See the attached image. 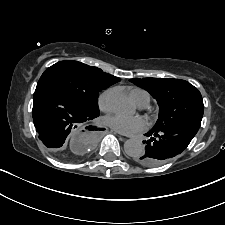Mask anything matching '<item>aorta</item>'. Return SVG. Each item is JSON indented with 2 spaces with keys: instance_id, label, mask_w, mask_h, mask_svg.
I'll use <instances>...</instances> for the list:
<instances>
[{
  "instance_id": "aorta-1",
  "label": "aorta",
  "mask_w": 225,
  "mask_h": 225,
  "mask_svg": "<svg viewBox=\"0 0 225 225\" xmlns=\"http://www.w3.org/2000/svg\"><path fill=\"white\" fill-rule=\"evenodd\" d=\"M107 103L111 110L116 113H125L132 108L128 96L120 88H113L109 91ZM124 150L128 156L137 157L144 152V146L140 141L130 139L124 143Z\"/></svg>"
}]
</instances>
